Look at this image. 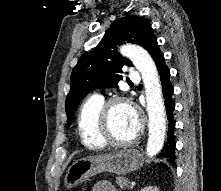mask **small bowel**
Returning a JSON list of instances; mask_svg holds the SVG:
<instances>
[{"mask_svg": "<svg viewBox=\"0 0 221 191\" xmlns=\"http://www.w3.org/2000/svg\"><path fill=\"white\" fill-rule=\"evenodd\" d=\"M93 191H116V188L109 181H100L94 186Z\"/></svg>", "mask_w": 221, "mask_h": 191, "instance_id": "c3829d8e", "label": "small bowel"}]
</instances>
